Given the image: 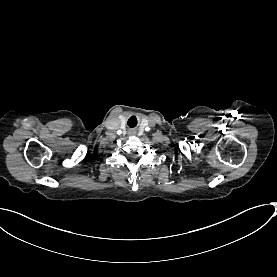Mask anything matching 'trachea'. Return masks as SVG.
<instances>
[{
    "instance_id": "3493384b",
    "label": "trachea",
    "mask_w": 277,
    "mask_h": 277,
    "mask_svg": "<svg viewBox=\"0 0 277 277\" xmlns=\"http://www.w3.org/2000/svg\"><path fill=\"white\" fill-rule=\"evenodd\" d=\"M135 118V117H134ZM128 125L133 128L137 125V119L135 118L131 123H128Z\"/></svg>"
}]
</instances>
